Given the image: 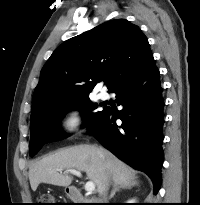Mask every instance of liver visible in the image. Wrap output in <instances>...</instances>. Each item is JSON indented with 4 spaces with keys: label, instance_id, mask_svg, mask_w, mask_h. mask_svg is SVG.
I'll return each mask as SVG.
<instances>
[{
    "label": "liver",
    "instance_id": "1",
    "mask_svg": "<svg viewBox=\"0 0 200 205\" xmlns=\"http://www.w3.org/2000/svg\"><path fill=\"white\" fill-rule=\"evenodd\" d=\"M70 169L85 172L98 191L111 181L114 184L130 186L137 184L132 169L108 150L97 146L78 145L34 162L29 169L32 190L36 191L40 183L69 186L73 178L66 171Z\"/></svg>",
    "mask_w": 200,
    "mask_h": 205
}]
</instances>
